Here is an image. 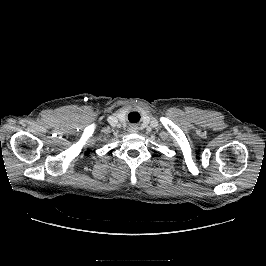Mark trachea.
<instances>
[{
  "mask_svg": "<svg viewBox=\"0 0 266 266\" xmlns=\"http://www.w3.org/2000/svg\"><path fill=\"white\" fill-rule=\"evenodd\" d=\"M128 119L130 122H137L140 119V115L137 112H131L128 115Z\"/></svg>",
  "mask_w": 266,
  "mask_h": 266,
  "instance_id": "trachea-1",
  "label": "trachea"
}]
</instances>
